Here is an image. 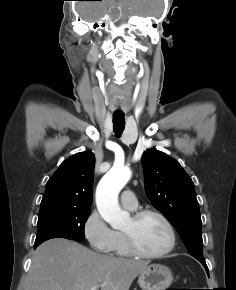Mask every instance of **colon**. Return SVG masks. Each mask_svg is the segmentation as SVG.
<instances>
[{"label": "colon", "instance_id": "1", "mask_svg": "<svg viewBox=\"0 0 236 290\" xmlns=\"http://www.w3.org/2000/svg\"><path fill=\"white\" fill-rule=\"evenodd\" d=\"M169 290H177V289H169Z\"/></svg>", "mask_w": 236, "mask_h": 290}]
</instances>
